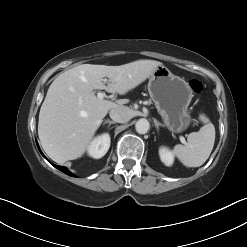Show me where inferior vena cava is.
Wrapping results in <instances>:
<instances>
[{
  "instance_id": "1",
  "label": "inferior vena cava",
  "mask_w": 247,
  "mask_h": 247,
  "mask_svg": "<svg viewBox=\"0 0 247 247\" xmlns=\"http://www.w3.org/2000/svg\"><path fill=\"white\" fill-rule=\"evenodd\" d=\"M109 115L117 123H126L132 118V111L129 107L118 106L111 109Z\"/></svg>"
}]
</instances>
